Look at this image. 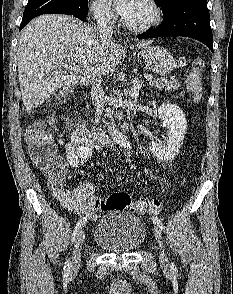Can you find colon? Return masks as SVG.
Wrapping results in <instances>:
<instances>
[{
    "mask_svg": "<svg viewBox=\"0 0 233 294\" xmlns=\"http://www.w3.org/2000/svg\"><path fill=\"white\" fill-rule=\"evenodd\" d=\"M203 62L199 59L193 62L191 71L187 77V88L194 102H199L203 91ZM26 140L30 156L55 185L64 183V162L55 155V144L50 138L46 125L35 123L28 127ZM95 210L130 209L138 214L155 215L159 212L161 204L158 200L140 199L131 200L129 194L115 193L100 200L90 202Z\"/></svg>",
    "mask_w": 233,
    "mask_h": 294,
    "instance_id": "colon-1",
    "label": "colon"
}]
</instances>
